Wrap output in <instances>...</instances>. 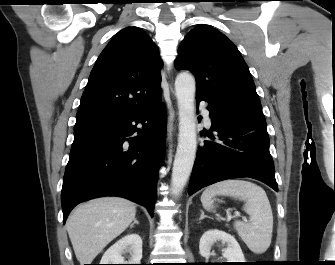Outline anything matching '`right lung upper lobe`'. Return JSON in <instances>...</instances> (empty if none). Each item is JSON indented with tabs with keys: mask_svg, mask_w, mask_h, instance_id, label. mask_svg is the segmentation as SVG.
Listing matches in <instances>:
<instances>
[{
	"mask_svg": "<svg viewBox=\"0 0 335 265\" xmlns=\"http://www.w3.org/2000/svg\"><path fill=\"white\" fill-rule=\"evenodd\" d=\"M157 55L140 28L118 32L91 71L74 127L94 126L156 105L162 99Z\"/></svg>",
	"mask_w": 335,
	"mask_h": 265,
	"instance_id": "right-lung-upper-lobe-1",
	"label": "right lung upper lobe"
}]
</instances>
